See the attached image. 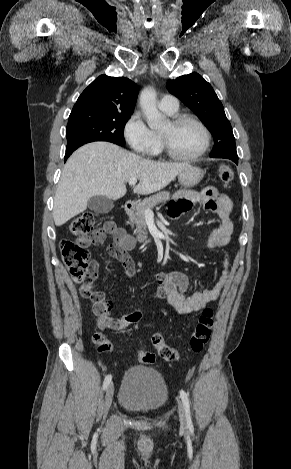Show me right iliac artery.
<instances>
[{"instance_id":"82829eb1","label":"right iliac artery","mask_w":291,"mask_h":469,"mask_svg":"<svg viewBox=\"0 0 291 469\" xmlns=\"http://www.w3.org/2000/svg\"><path fill=\"white\" fill-rule=\"evenodd\" d=\"M111 380H112V376L109 374L105 377L104 379V383H103V389H107L109 384L111 383Z\"/></svg>"}]
</instances>
